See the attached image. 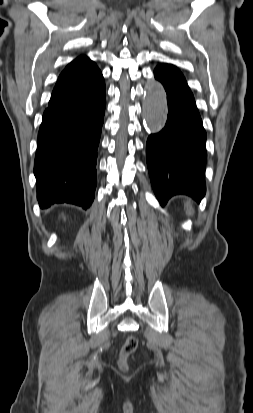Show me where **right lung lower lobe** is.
<instances>
[{"label":"right lung lower lobe","mask_w":253,"mask_h":413,"mask_svg":"<svg viewBox=\"0 0 253 413\" xmlns=\"http://www.w3.org/2000/svg\"><path fill=\"white\" fill-rule=\"evenodd\" d=\"M105 106L103 81L92 92L45 110L34 165L41 208L66 202L87 209L92 204Z\"/></svg>","instance_id":"98d812e1"}]
</instances>
